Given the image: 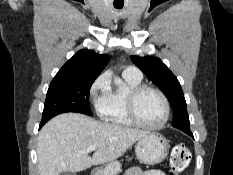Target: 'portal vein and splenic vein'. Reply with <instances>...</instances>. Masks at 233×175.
Listing matches in <instances>:
<instances>
[{"label": "portal vein and splenic vein", "mask_w": 233, "mask_h": 175, "mask_svg": "<svg viewBox=\"0 0 233 175\" xmlns=\"http://www.w3.org/2000/svg\"><path fill=\"white\" fill-rule=\"evenodd\" d=\"M96 150V146H90L87 148V152H91V151H94Z\"/></svg>", "instance_id": "portal-vein-and-splenic-vein-1"}]
</instances>
